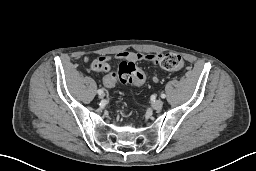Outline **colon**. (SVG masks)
<instances>
[{
	"instance_id": "1",
	"label": "colon",
	"mask_w": 256,
	"mask_h": 171,
	"mask_svg": "<svg viewBox=\"0 0 256 171\" xmlns=\"http://www.w3.org/2000/svg\"><path fill=\"white\" fill-rule=\"evenodd\" d=\"M182 58L175 53H166L161 55L160 65L165 70H178L182 67ZM91 69L97 73L109 71V65L104 59H95L90 64ZM112 78L121 83H132L141 85L145 82L146 76L142 69L132 62H122L118 71L113 73Z\"/></svg>"
}]
</instances>
